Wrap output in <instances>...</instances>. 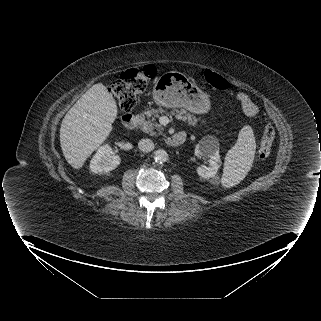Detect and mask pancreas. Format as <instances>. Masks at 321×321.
<instances>
[{"label": "pancreas", "instance_id": "1", "mask_svg": "<svg viewBox=\"0 0 321 321\" xmlns=\"http://www.w3.org/2000/svg\"><path fill=\"white\" fill-rule=\"evenodd\" d=\"M159 113L160 114H164L166 113L165 110H163L162 108H158V109H151L148 110L146 112H144V114H141L139 117V128L149 134L150 136H158L160 134L163 133V127L158 124L155 123V118L159 117ZM172 115H174L176 117V119L178 120H182L183 122H187L188 125L190 126H196L198 119L191 115L190 113H187L186 110L181 109V110H173L171 112ZM202 123H205V121L202 120Z\"/></svg>", "mask_w": 321, "mask_h": 321}]
</instances>
